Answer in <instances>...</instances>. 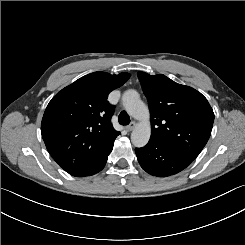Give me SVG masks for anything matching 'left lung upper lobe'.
I'll return each mask as SVG.
<instances>
[{"label":"left lung upper lobe","instance_id":"left-lung-upper-lobe-1","mask_svg":"<svg viewBox=\"0 0 245 245\" xmlns=\"http://www.w3.org/2000/svg\"><path fill=\"white\" fill-rule=\"evenodd\" d=\"M138 78L150 108V139L195 159L213 127L214 113L207 99L162 74L139 72Z\"/></svg>","mask_w":245,"mask_h":245}]
</instances>
